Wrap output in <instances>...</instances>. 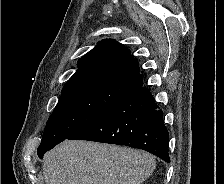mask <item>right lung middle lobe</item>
Returning a JSON list of instances; mask_svg holds the SVG:
<instances>
[{
    "mask_svg": "<svg viewBox=\"0 0 224 184\" xmlns=\"http://www.w3.org/2000/svg\"><path fill=\"white\" fill-rule=\"evenodd\" d=\"M132 89L109 82H88L62 91L49 117L37 154L83 129Z\"/></svg>",
    "mask_w": 224,
    "mask_h": 184,
    "instance_id": "obj_1",
    "label": "right lung middle lobe"
}]
</instances>
